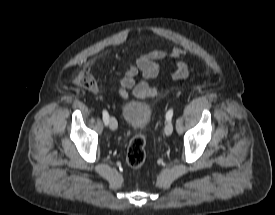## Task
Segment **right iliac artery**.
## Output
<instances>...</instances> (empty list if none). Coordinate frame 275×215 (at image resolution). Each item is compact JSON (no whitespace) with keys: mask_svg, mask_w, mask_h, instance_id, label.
Listing matches in <instances>:
<instances>
[{"mask_svg":"<svg viewBox=\"0 0 275 215\" xmlns=\"http://www.w3.org/2000/svg\"><path fill=\"white\" fill-rule=\"evenodd\" d=\"M102 116H103V121H104L105 125H107L108 124V120H109V114H108V112L106 110H103Z\"/></svg>","mask_w":275,"mask_h":215,"instance_id":"obj_1","label":"right iliac artery"}]
</instances>
